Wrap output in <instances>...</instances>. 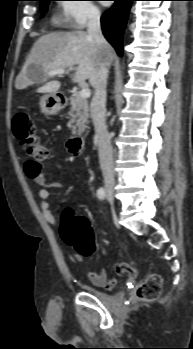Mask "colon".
Masks as SVG:
<instances>
[{"label":"colon","instance_id":"1","mask_svg":"<svg viewBox=\"0 0 193 349\" xmlns=\"http://www.w3.org/2000/svg\"><path fill=\"white\" fill-rule=\"evenodd\" d=\"M13 129L25 152L31 157L29 162L40 165L51 156L50 146L40 140L33 120L25 113L17 114L13 120ZM61 235L63 240L83 255H91L96 250L93 230L84 217L67 215L64 218ZM161 291V277L151 275L137 289V296L144 301L155 300Z\"/></svg>","mask_w":193,"mask_h":349}]
</instances>
